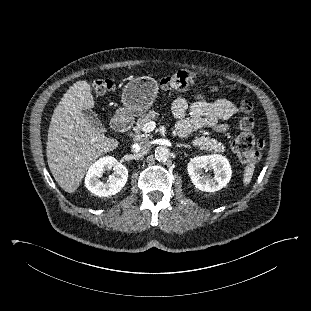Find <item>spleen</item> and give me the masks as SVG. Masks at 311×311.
<instances>
[{"label":"spleen","instance_id":"obj_1","mask_svg":"<svg viewBox=\"0 0 311 311\" xmlns=\"http://www.w3.org/2000/svg\"><path fill=\"white\" fill-rule=\"evenodd\" d=\"M253 173H254V162L250 161L249 164L245 167L243 173L244 185H248L250 183Z\"/></svg>","mask_w":311,"mask_h":311}]
</instances>
